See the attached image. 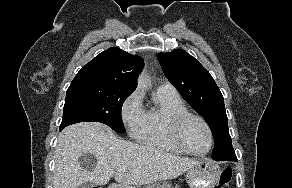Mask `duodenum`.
<instances>
[{"instance_id":"1","label":"duodenum","mask_w":292,"mask_h":188,"mask_svg":"<svg viewBox=\"0 0 292 188\" xmlns=\"http://www.w3.org/2000/svg\"><path fill=\"white\" fill-rule=\"evenodd\" d=\"M109 188H120V187H118V186H116V185H112V186H110Z\"/></svg>"}]
</instances>
